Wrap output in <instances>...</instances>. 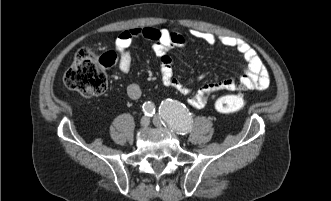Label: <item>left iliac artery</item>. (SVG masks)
<instances>
[{"instance_id":"1","label":"left iliac artery","mask_w":331,"mask_h":201,"mask_svg":"<svg viewBox=\"0 0 331 201\" xmlns=\"http://www.w3.org/2000/svg\"><path fill=\"white\" fill-rule=\"evenodd\" d=\"M159 108L165 125L182 135L191 131L192 117L184 104L176 100L167 99L162 102Z\"/></svg>"}]
</instances>
